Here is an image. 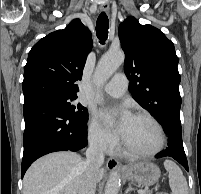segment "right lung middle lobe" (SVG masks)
Wrapping results in <instances>:
<instances>
[{"instance_id":"1","label":"right lung middle lobe","mask_w":201,"mask_h":194,"mask_svg":"<svg viewBox=\"0 0 201 194\" xmlns=\"http://www.w3.org/2000/svg\"><path fill=\"white\" fill-rule=\"evenodd\" d=\"M77 97L61 96V95H45L38 97L37 99L51 102L61 107L67 114L78 122L87 123L88 111L81 104L73 105L72 101Z\"/></svg>"}]
</instances>
